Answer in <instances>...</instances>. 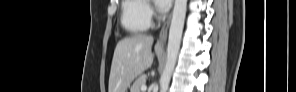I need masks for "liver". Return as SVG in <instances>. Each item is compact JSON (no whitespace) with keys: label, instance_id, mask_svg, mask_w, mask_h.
I'll return each instance as SVG.
<instances>
[{"label":"liver","instance_id":"1","mask_svg":"<svg viewBox=\"0 0 296 92\" xmlns=\"http://www.w3.org/2000/svg\"><path fill=\"white\" fill-rule=\"evenodd\" d=\"M153 37L136 34L120 40L115 48L109 76L108 92H126L131 82L153 63L151 47ZM158 58L163 54V46L155 45Z\"/></svg>","mask_w":296,"mask_h":92}]
</instances>
